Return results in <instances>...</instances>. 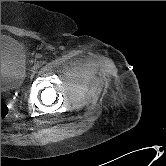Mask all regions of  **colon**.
Instances as JSON below:
<instances>
[{
	"label": "colon",
	"mask_w": 166,
	"mask_h": 166,
	"mask_svg": "<svg viewBox=\"0 0 166 166\" xmlns=\"http://www.w3.org/2000/svg\"><path fill=\"white\" fill-rule=\"evenodd\" d=\"M9 109L5 102L1 101V120L8 115Z\"/></svg>",
	"instance_id": "obj_1"
}]
</instances>
